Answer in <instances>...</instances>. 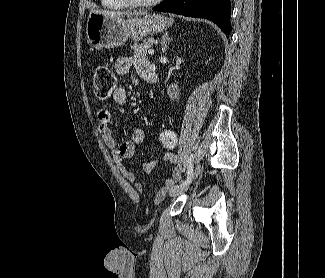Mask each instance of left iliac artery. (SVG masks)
<instances>
[{
	"instance_id": "44dca946",
	"label": "left iliac artery",
	"mask_w": 325,
	"mask_h": 278,
	"mask_svg": "<svg viewBox=\"0 0 325 278\" xmlns=\"http://www.w3.org/2000/svg\"><path fill=\"white\" fill-rule=\"evenodd\" d=\"M192 177H193V166L191 164V159H190L189 165H188V168H187V179L185 181H182L181 185L189 184L191 182V180H192Z\"/></svg>"
}]
</instances>
